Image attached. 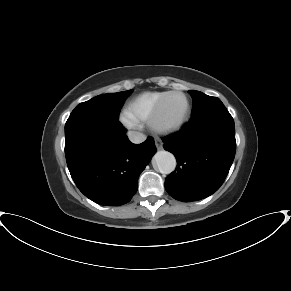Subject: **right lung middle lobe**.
Masks as SVG:
<instances>
[{
  "instance_id": "1",
  "label": "right lung middle lobe",
  "mask_w": 291,
  "mask_h": 291,
  "mask_svg": "<svg viewBox=\"0 0 291 291\" xmlns=\"http://www.w3.org/2000/svg\"><path fill=\"white\" fill-rule=\"evenodd\" d=\"M133 90L103 94L78 104L70 115L93 114L113 119L119 118V112L127 97Z\"/></svg>"
}]
</instances>
